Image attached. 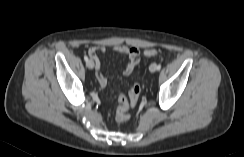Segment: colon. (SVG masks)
Segmentation results:
<instances>
[{
    "label": "colon",
    "instance_id": "5ec220e1",
    "mask_svg": "<svg viewBox=\"0 0 244 157\" xmlns=\"http://www.w3.org/2000/svg\"><path fill=\"white\" fill-rule=\"evenodd\" d=\"M146 57H154L158 54L156 49H147L144 52ZM141 92V86L138 83H135L128 97L118 96L117 97V111H116V120L118 122H125L129 119V108L135 106Z\"/></svg>",
    "mask_w": 244,
    "mask_h": 157
}]
</instances>
